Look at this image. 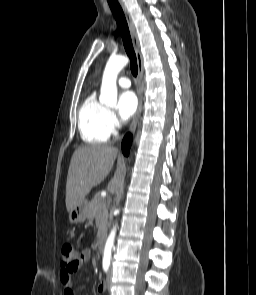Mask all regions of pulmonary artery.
Wrapping results in <instances>:
<instances>
[{
  "instance_id": "obj_1",
  "label": "pulmonary artery",
  "mask_w": 256,
  "mask_h": 295,
  "mask_svg": "<svg viewBox=\"0 0 256 295\" xmlns=\"http://www.w3.org/2000/svg\"><path fill=\"white\" fill-rule=\"evenodd\" d=\"M118 84L122 88H129L131 86V81L128 77H120L118 80Z\"/></svg>"
}]
</instances>
